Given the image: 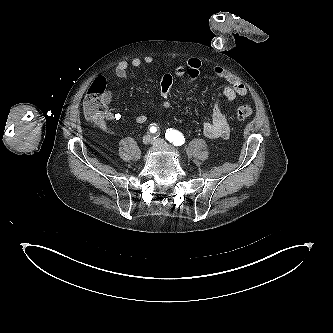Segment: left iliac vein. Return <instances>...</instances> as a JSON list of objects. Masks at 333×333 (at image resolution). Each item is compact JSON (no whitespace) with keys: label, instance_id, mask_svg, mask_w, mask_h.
Returning a JSON list of instances; mask_svg holds the SVG:
<instances>
[{"label":"left iliac vein","instance_id":"4c4485c4","mask_svg":"<svg viewBox=\"0 0 333 333\" xmlns=\"http://www.w3.org/2000/svg\"><path fill=\"white\" fill-rule=\"evenodd\" d=\"M152 143H153L154 145H163L165 142H164V140L155 137V138L152 139Z\"/></svg>","mask_w":333,"mask_h":333}]
</instances>
